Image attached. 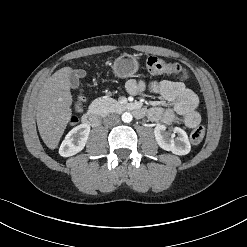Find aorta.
Masks as SVG:
<instances>
[{"label":"aorta","instance_id":"1","mask_svg":"<svg viewBox=\"0 0 247 247\" xmlns=\"http://www.w3.org/2000/svg\"><path fill=\"white\" fill-rule=\"evenodd\" d=\"M121 118L124 123H130L133 119V116L131 113L125 112L122 114Z\"/></svg>","mask_w":247,"mask_h":247}]
</instances>
